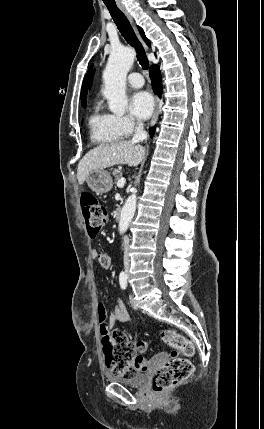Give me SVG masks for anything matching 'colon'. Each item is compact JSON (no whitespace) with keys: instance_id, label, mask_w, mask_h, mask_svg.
Instances as JSON below:
<instances>
[{"instance_id":"1","label":"colon","mask_w":264,"mask_h":429,"mask_svg":"<svg viewBox=\"0 0 264 429\" xmlns=\"http://www.w3.org/2000/svg\"><path fill=\"white\" fill-rule=\"evenodd\" d=\"M80 199L89 235L95 237L107 222V209L90 192L83 191ZM97 314L101 329L107 331L106 310L103 305H98ZM161 337L167 345L181 351L185 356L194 355V345L175 331L165 330L162 332ZM103 353L105 364L112 373L130 377L138 372L133 364L135 348L124 333H107L103 341ZM192 373L193 364L191 361L178 357L173 352L155 373L152 389L157 393L166 391L187 380Z\"/></svg>"}]
</instances>
